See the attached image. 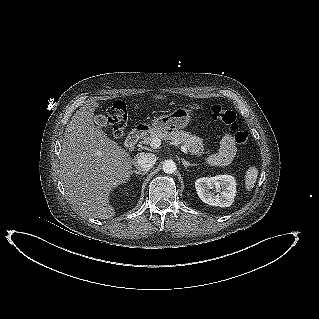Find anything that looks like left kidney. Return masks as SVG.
<instances>
[{
	"instance_id": "1",
	"label": "left kidney",
	"mask_w": 319,
	"mask_h": 319,
	"mask_svg": "<svg viewBox=\"0 0 319 319\" xmlns=\"http://www.w3.org/2000/svg\"><path fill=\"white\" fill-rule=\"evenodd\" d=\"M195 188L204 203L211 206L229 207L236 195V180L231 175L203 177L196 180Z\"/></svg>"
}]
</instances>
